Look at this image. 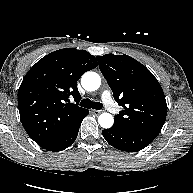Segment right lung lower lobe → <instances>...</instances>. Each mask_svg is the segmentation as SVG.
<instances>
[{
	"label": "right lung lower lobe",
	"instance_id": "98d812e1",
	"mask_svg": "<svg viewBox=\"0 0 193 193\" xmlns=\"http://www.w3.org/2000/svg\"><path fill=\"white\" fill-rule=\"evenodd\" d=\"M88 112L89 111L87 110L84 115L79 118L72 126H70L66 132H64L56 141L44 149L57 152L69 147L75 141L81 122L83 118L88 115Z\"/></svg>",
	"mask_w": 193,
	"mask_h": 193
}]
</instances>
